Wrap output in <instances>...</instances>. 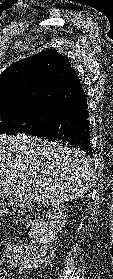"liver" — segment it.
Returning a JSON list of instances; mask_svg holds the SVG:
<instances>
[{
	"instance_id": "1",
	"label": "liver",
	"mask_w": 113,
	"mask_h": 279,
	"mask_svg": "<svg viewBox=\"0 0 113 279\" xmlns=\"http://www.w3.org/2000/svg\"><path fill=\"white\" fill-rule=\"evenodd\" d=\"M91 158L79 148L27 134H0V197L15 196L58 207L82 197L92 187Z\"/></svg>"
}]
</instances>
